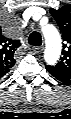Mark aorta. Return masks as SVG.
<instances>
[{"instance_id": "762f6f07", "label": "aorta", "mask_w": 71, "mask_h": 119, "mask_svg": "<svg viewBox=\"0 0 71 119\" xmlns=\"http://www.w3.org/2000/svg\"><path fill=\"white\" fill-rule=\"evenodd\" d=\"M43 33L46 40V50L44 54L45 61L49 65H54L60 56L61 37L57 29L52 25L45 26L43 28Z\"/></svg>"}]
</instances>
